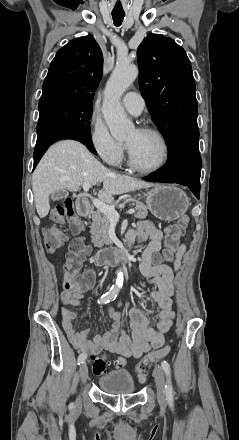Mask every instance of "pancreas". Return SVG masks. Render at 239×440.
Here are the masks:
<instances>
[{"instance_id":"1","label":"pancreas","mask_w":239,"mask_h":440,"mask_svg":"<svg viewBox=\"0 0 239 440\" xmlns=\"http://www.w3.org/2000/svg\"><path fill=\"white\" fill-rule=\"evenodd\" d=\"M130 206H136L135 218H147L148 210L144 206L143 202H133ZM92 224L90 226V234H92L91 242L94 244L95 248H103V246H111L112 240H110L107 232L109 228V218L102 214L100 210H96L91 214Z\"/></svg>"}]
</instances>
